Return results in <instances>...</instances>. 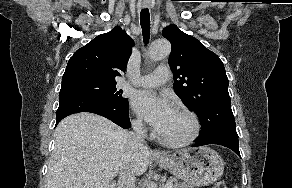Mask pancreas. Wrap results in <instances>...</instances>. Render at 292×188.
<instances>
[{"mask_svg": "<svg viewBox=\"0 0 292 188\" xmlns=\"http://www.w3.org/2000/svg\"><path fill=\"white\" fill-rule=\"evenodd\" d=\"M169 181L174 183L173 188H191L185 182H178V179L175 177H171Z\"/></svg>", "mask_w": 292, "mask_h": 188, "instance_id": "cf45deb5", "label": "pancreas"}]
</instances>
